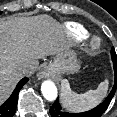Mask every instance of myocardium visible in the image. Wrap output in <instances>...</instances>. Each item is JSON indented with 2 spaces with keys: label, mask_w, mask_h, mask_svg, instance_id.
Segmentation results:
<instances>
[{
  "label": "myocardium",
  "mask_w": 117,
  "mask_h": 117,
  "mask_svg": "<svg viewBox=\"0 0 117 117\" xmlns=\"http://www.w3.org/2000/svg\"><path fill=\"white\" fill-rule=\"evenodd\" d=\"M100 46V40L98 38H92L89 42V48L91 50H96Z\"/></svg>",
  "instance_id": "obj_1"
}]
</instances>
